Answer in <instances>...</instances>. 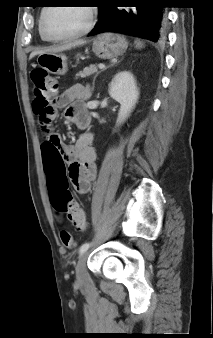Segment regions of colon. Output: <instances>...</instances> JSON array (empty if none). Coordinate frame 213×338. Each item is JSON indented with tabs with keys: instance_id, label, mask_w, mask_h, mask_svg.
I'll return each instance as SVG.
<instances>
[{
	"instance_id": "5ec220e1",
	"label": "colon",
	"mask_w": 213,
	"mask_h": 338,
	"mask_svg": "<svg viewBox=\"0 0 213 338\" xmlns=\"http://www.w3.org/2000/svg\"><path fill=\"white\" fill-rule=\"evenodd\" d=\"M31 80L34 95L33 109L43 125V134L46 138L43 143V149L50 151L54 146L57 147L62 143L61 137L57 134H50L47 127L54 115L52 99L58 91V85L56 80L43 69L33 70ZM50 198L54 209L58 213L66 214L78 230H83L87 227L84 211L73 195L66 190L65 183L56 184ZM59 236L61 243L65 247L72 248L74 246L73 236L68 230H61Z\"/></svg>"
}]
</instances>
